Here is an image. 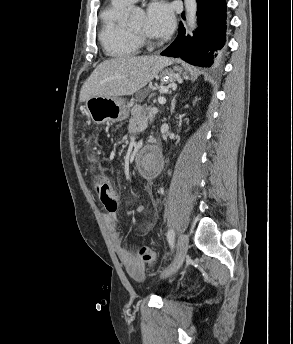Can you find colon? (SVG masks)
Wrapping results in <instances>:
<instances>
[{"instance_id": "1", "label": "colon", "mask_w": 293, "mask_h": 344, "mask_svg": "<svg viewBox=\"0 0 293 344\" xmlns=\"http://www.w3.org/2000/svg\"><path fill=\"white\" fill-rule=\"evenodd\" d=\"M96 191L99 199L108 211H114L117 209L118 196L111 182L107 178L97 180ZM138 255L145 265L151 267L155 264L156 255L152 249L142 247L139 250Z\"/></svg>"}]
</instances>
